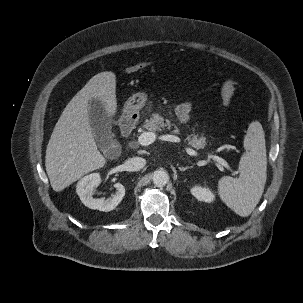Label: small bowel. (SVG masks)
Masks as SVG:
<instances>
[{"mask_svg":"<svg viewBox=\"0 0 303 303\" xmlns=\"http://www.w3.org/2000/svg\"><path fill=\"white\" fill-rule=\"evenodd\" d=\"M191 107L189 104L184 103L177 107L176 114L179 120L183 123H186L189 119Z\"/></svg>","mask_w":303,"mask_h":303,"instance_id":"small-bowel-1","label":"small bowel"}]
</instances>
